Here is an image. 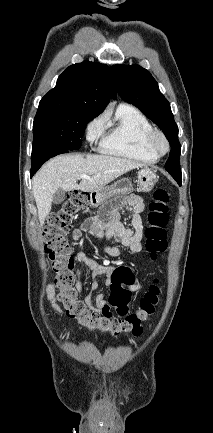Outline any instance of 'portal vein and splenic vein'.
<instances>
[{
    "instance_id": "obj_1",
    "label": "portal vein and splenic vein",
    "mask_w": 213,
    "mask_h": 433,
    "mask_svg": "<svg viewBox=\"0 0 213 433\" xmlns=\"http://www.w3.org/2000/svg\"><path fill=\"white\" fill-rule=\"evenodd\" d=\"M80 178L81 179H88V178H90V176H88L86 174H82V175H80Z\"/></svg>"
}]
</instances>
